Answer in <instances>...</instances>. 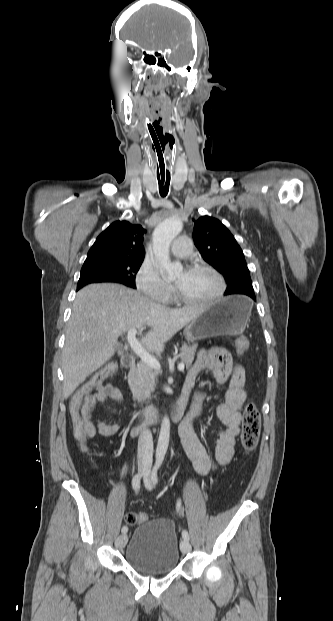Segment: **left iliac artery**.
Here are the masks:
<instances>
[{"label": "left iliac artery", "instance_id": "left-iliac-artery-1", "mask_svg": "<svg viewBox=\"0 0 333 621\" xmlns=\"http://www.w3.org/2000/svg\"><path fill=\"white\" fill-rule=\"evenodd\" d=\"M163 460H164V456L163 455H160V456L157 457L156 462H155V464L153 466V469H152L151 481L145 480V485H146L147 488L151 489V487L153 485L158 483V469L162 465ZM176 508H177V512L181 508V500L180 499L177 501ZM182 538L184 540H186V541H189V534H188V532L186 530L182 531Z\"/></svg>", "mask_w": 333, "mask_h": 621}]
</instances>
